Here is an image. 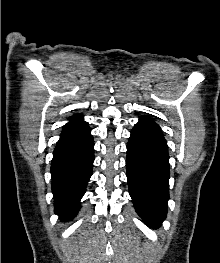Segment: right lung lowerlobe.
Here are the masks:
<instances>
[{"label":"right lung lower lobe","mask_w":220,"mask_h":263,"mask_svg":"<svg viewBox=\"0 0 220 263\" xmlns=\"http://www.w3.org/2000/svg\"><path fill=\"white\" fill-rule=\"evenodd\" d=\"M94 142L90 128L85 132L63 133L51 164L55 213L72 219L80 208V199L92 174Z\"/></svg>","instance_id":"right-lung-lower-lobe-1"}]
</instances>
